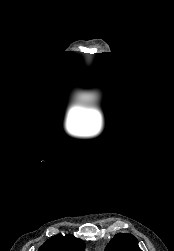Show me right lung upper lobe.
Listing matches in <instances>:
<instances>
[{
	"mask_svg": "<svg viewBox=\"0 0 174 251\" xmlns=\"http://www.w3.org/2000/svg\"><path fill=\"white\" fill-rule=\"evenodd\" d=\"M85 243L73 235H55L47 240L38 251H84Z\"/></svg>",
	"mask_w": 174,
	"mask_h": 251,
	"instance_id": "obj_1",
	"label": "right lung upper lobe"
}]
</instances>
